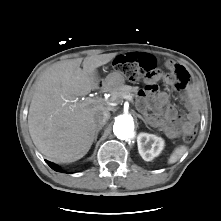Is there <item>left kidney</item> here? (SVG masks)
<instances>
[{
    "instance_id": "left-kidney-1",
    "label": "left kidney",
    "mask_w": 221,
    "mask_h": 221,
    "mask_svg": "<svg viewBox=\"0 0 221 221\" xmlns=\"http://www.w3.org/2000/svg\"><path fill=\"white\" fill-rule=\"evenodd\" d=\"M137 143L139 154L145 161L153 160L164 148V140L154 134L140 133Z\"/></svg>"
}]
</instances>
